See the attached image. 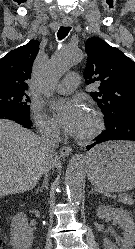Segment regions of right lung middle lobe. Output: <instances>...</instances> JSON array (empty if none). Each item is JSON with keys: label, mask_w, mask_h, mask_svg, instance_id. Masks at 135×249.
Returning <instances> with one entry per match:
<instances>
[{"label": "right lung middle lobe", "mask_w": 135, "mask_h": 249, "mask_svg": "<svg viewBox=\"0 0 135 249\" xmlns=\"http://www.w3.org/2000/svg\"><path fill=\"white\" fill-rule=\"evenodd\" d=\"M29 97L25 91H0V105L12 106L29 114Z\"/></svg>", "instance_id": "obj_1"}]
</instances>
